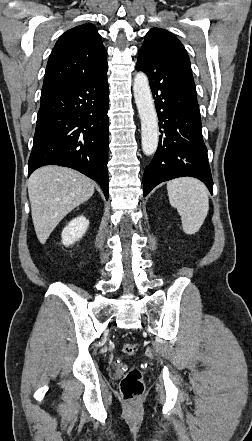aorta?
Instances as JSON below:
<instances>
[{"instance_id": "762f6f07", "label": "aorta", "mask_w": 252, "mask_h": 441, "mask_svg": "<svg viewBox=\"0 0 252 441\" xmlns=\"http://www.w3.org/2000/svg\"><path fill=\"white\" fill-rule=\"evenodd\" d=\"M133 92L141 120L142 150L150 156L158 146V119L148 78L143 72L135 75Z\"/></svg>"}]
</instances>
